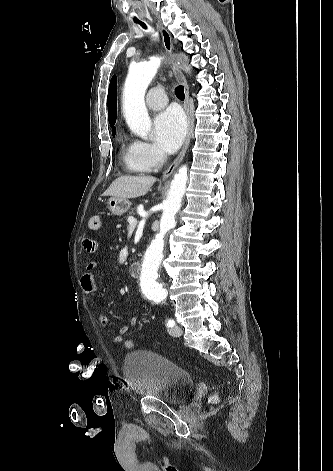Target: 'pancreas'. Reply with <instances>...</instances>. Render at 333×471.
I'll use <instances>...</instances> for the list:
<instances>
[{"instance_id": "pancreas-1", "label": "pancreas", "mask_w": 333, "mask_h": 471, "mask_svg": "<svg viewBox=\"0 0 333 471\" xmlns=\"http://www.w3.org/2000/svg\"><path fill=\"white\" fill-rule=\"evenodd\" d=\"M134 209H131V211L129 212V215H131L133 213Z\"/></svg>"}]
</instances>
